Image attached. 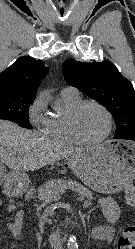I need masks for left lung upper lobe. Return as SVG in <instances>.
<instances>
[{"label": "left lung upper lobe", "instance_id": "5c2ea615", "mask_svg": "<svg viewBox=\"0 0 135 249\" xmlns=\"http://www.w3.org/2000/svg\"><path fill=\"white\" fill-rule=\"evenodd\" d=\"M63 75L69 85L99 101L111 112L117 125L114 138L135 135V91L113 63L67 59L63 62Z\"/></svg>", "mask_w": 135, "mask_h": 249}]
</instances>
